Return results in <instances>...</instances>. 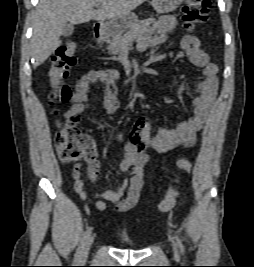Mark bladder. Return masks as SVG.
<instances>
[{"mask_svg":"<svg viewBox=\"0 0 254 267\" xmlns=\"http://www.w3.org/2000/svg\"><path fill=\"white\" fill-rule=\"evenodd\" d=\"M121 245L127 248H134L135 245L126 234H120L119 236Z\"/></svg>","mask_w":254,"mask_h":267,"instance_id":"1","label":"bladder"}]
</instances>
